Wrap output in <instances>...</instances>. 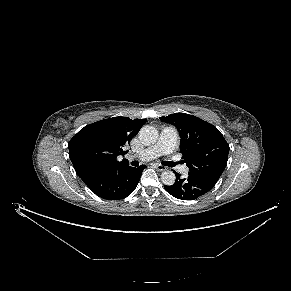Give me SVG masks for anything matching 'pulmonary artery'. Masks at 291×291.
I'll list each match as a JSON object with an SVG mask.
<instances>
[{
  "mask_svg": "<svg viewBox=\"0 0 291 291\" xmlns=\"http://www.w3.org/2000/svg\"><path fill=\"white\" fill-rule=\"evenodd\" d=\"M178 142V132L173 127H165L159 136L158 141L141 151L135 157L143 161H149L162 155H169L173 152ZM184 174L188 173V168H179Z\"/></svg>",
  "mask_w": 291,
  "mask_h": 291,
  "instance_id": "e3ab8cb5",
  "label": "pulmonary artery"
}]
</instances>
